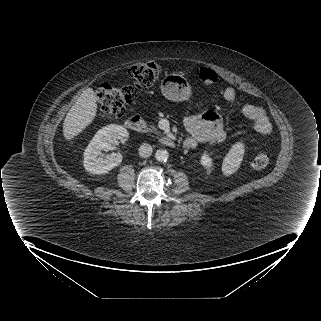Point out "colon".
Instances as JSON below:
<instances>
[{
	"instance_id": "5ec220e1",
	"label": "colon",
	"mask_w": 321,
	"mask_h": 321,
	"mask_svg": "<svg viewBox=\"0 0 321 321\" xmlns=\"http://www.w3.org/2000/svg\"><path fill=\"white\" fill-rule=\"evenodd\" d=\"M161 72V66L156 62L140 63L129 69L132 84L122 87L101 86L95 94L101 114L112 118L121 117L125 106L136 98L139 91L152 87ZM196 75L201 82L209 86L215 85L218 81L215 71L207 67H198ZM269 160L268 154L261 153L254 158L253 166L256 169H263Z\"/></svg>"
}]
</instances>
